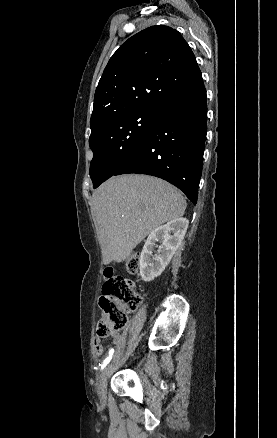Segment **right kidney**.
<instances>
[{
  "label": "right kidney",
  "mask_w": 277,
  "mask_h": 438,
  "mask_svg": "<svg viewBox=\"0 0 277 438\" xmlns=\"http://www.w3.org/2000/svg\"><path fill=\"white\" fill-rule=\"evenodd\" d=\"M188 224L187 218H175L164 226H158L152 230L143 246L139 260L140 276L144 282H152L164 272L176 250L181 246ZM156 242H160L161 246H157ZM154 248H158L156 256H152Z\"/></svg>",
  "instance_id": "right-kidney-1"
}]
</instances>
